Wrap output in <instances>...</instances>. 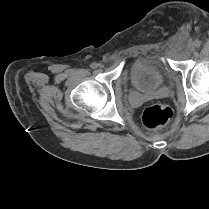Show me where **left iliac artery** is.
Returning <instances> with one entry per match:
<instances>
[{"instance_id":"1","label":"left iliac artery","mask_w":209,"mask_h":209,"mask_svg":"<svg viewBox=\"0 0 209 209\" xmlns=\"http://www.w3.org/2000/svg\"><path fill=\"white\" fill-rule=\"evenodd\" d=\"M194 45H195V47H200L201 42L197 40V41H195Z\"/></svg>"}]
</instances>
